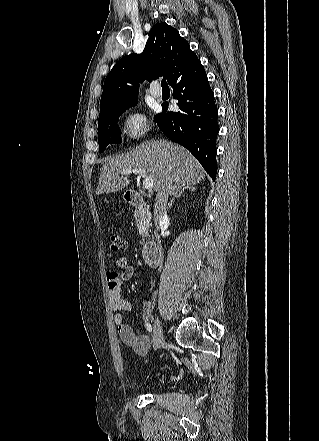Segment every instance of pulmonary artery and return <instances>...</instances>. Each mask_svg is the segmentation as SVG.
<instances>
[{
	"mask_svg": "<svg viewBox=\"0 0 319 441\" xmlns=\"http://www.w3.org/2000/svg\"><path fill=\"white\" fill-rule=\"evenodd\" d=\"M150 93L152 94V96H154V97H160L161 95H162V91H161V89H159V88H156V87H151V89H150Z\"/></svg>",
	"mask_w": 319,
	"mask_h": 441,
	"instance_id": "e3ab8cb5",
	"label": "pulmonary artery"
}]
</instances>
